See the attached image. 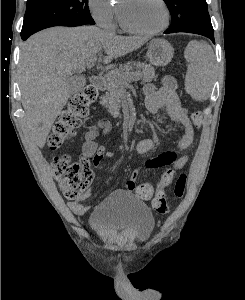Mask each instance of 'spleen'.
<instances>
[{
    "label": "spleen",
    "instance_id": "spleen-1",
    "mask_svg": "<svg viewBox=\"0 0 245 300\" xmlns=\"http://www.w3.org/2000/svg\"><path fill=\"white\" fill-rule=\"evenodd\" d=\"M189 63L185 77V89L197 101L208 99L212 88L213 51L209 44L194 41L185 51Z\"/></svg>",
    "mask_w": 245,
    "mask_h": 300
}]
</instances>
